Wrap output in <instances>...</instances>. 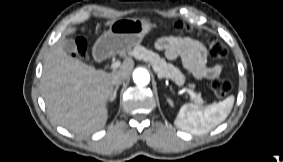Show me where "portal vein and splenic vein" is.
Masks as SVG:
<instances>
[{"instance_id":"obj_1","label":"portal vein and splenic vein","mask_w":283,"mask_h":162,"mask_svg":"<svg viewBox=\"0 0 283 162\" xmlns=\"http://www.w3.org/2000/svg\"><path fill=\"white\" fill-rule=\"evenodd\" d=\"M120 66H121V62H119V61L113 62V63L111 64V68H112L113 70L119 68ZM182 90H183V91H187L186 88H182ZM191 95H192V96H195V94H194L193 92H191Z\"/></svg>"}]
</instances>
